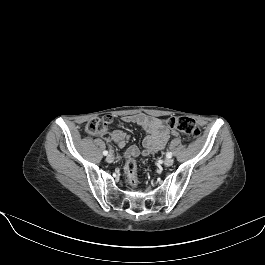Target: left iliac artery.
I'll return each mask as SVG.
<instances>
[{
  "label": "left iliac artery",
  "mask_w": 265,
  "mask_h": 265,
  "mask_svg": "<svg viewBox=\"0 0 265 265\" xmlns=\"http://www.w3.org/2000/svg\"><path fill=\"white\" fill-rule=\"evenodd\" d=\"M166 156H167V158H171L172 157V152H167Z\"/></svg>",
  "instance_id": "obj_1"
}]
</instances>
